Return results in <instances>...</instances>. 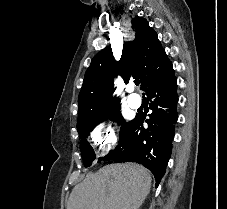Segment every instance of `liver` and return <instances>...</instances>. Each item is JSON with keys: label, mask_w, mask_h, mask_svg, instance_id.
I'll list each match as a JSON object with an SVG mask.
<instances>
[{"label": "liver", "mask_w": 227, "mask_h": 209, "mask_svg": "<svg viewBox=\"0 0 227 209\" xmlns=\"http://www.w3.org/2000/svg\"><path fill=\"white\" fill-rule=\"evenodd\" d=\"M151 183L141 165H106L74 187L67 209H139Z\"/></svg>", "instance_id": "obj_1"}]
</instances>
